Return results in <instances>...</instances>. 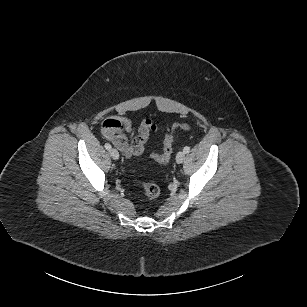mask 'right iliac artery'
Wrapping results in <instances>:
<instances>
[{"label":"right iliac artery","mask_w":307,"mask_h":307,"mask_svg":"<svg viewBox=\"0 0 307 307\" xmlns=\"http://www.w3.org/2000/svg\"><path fill=\"white\" fill-rule=\"evenodd\" d=\"M105 148L107 149V150H110L111 149V145L109 144V143H105Z\"/></svg>","instance_id":"82829eb1"}]
</instances>
